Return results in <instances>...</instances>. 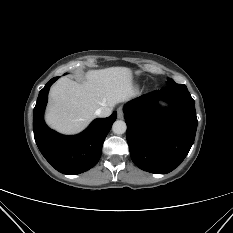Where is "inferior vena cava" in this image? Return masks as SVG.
<instances>
[{
	"label": "inferior vena cava",
	"mask_w": 233,
	"mask_h": 233,
	"mask_svg": "<svg viewBox=\"0 0 233 233\" xmlns=\"http://www.w3.org/2000/svg\"><path fill=\"white\" fill-rule=\"evenodd\" d=\"M112 113L111 108L104 106V107H100L95 111V115L99 116V117H108L110 116Z\"/></svg>",
	"instance_id": "1"
}]
</instances>
